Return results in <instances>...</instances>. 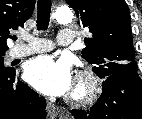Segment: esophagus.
<instances>
[{"instance_id":"34e87169","label":"esophagus","mask_w":142,"mask_h":119,"mask_svg":"<svg viewBox=\"0 0 142 119\" xmlns=\"http://www.w3.org/2000/svg\"><path fill=\"white\" fill-rule=\"evenodd\" d=\"M46 110L49 117L52 119L56 118L59 112L56 106L52 102H47Z\"/></svg>"}]
</instances>
